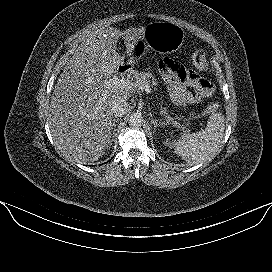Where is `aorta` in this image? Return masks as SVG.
<instances>
[{
    "label": "aorta",
    "mask_w": 272,
    "mask_h": 272,
    "mask_svg": "<svg viewBox=\"0 0 272 272\" xmlns=\"http://www.w3.org/2000/svg\"><path fill=\"white\" fill-rule=\"evenodd\" d=\"M143 124V117L140 113H134L129 118V125L132 127H140Z\"/></svg>",
    "instance_id": "aorta-1"
}]
</instances>
